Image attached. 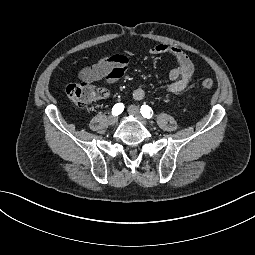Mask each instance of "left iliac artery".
Returning a JSON list of instances; mask_svg holds the SVG:
<instances>
[{
  "instance_id": "left-iliac-artery-1",
  "label": "left iliac artery",
  "mask_w": 255,
  "mask_h": 255,
  "mask_svg": "<svg viewBox=\"0 0 255 255\" xmlns=\"http://www.w3.org/2000/svg\"><path fill=\"white\" fill-rule=\"evenodd\" d=\"M140 112H141L142 116L147 119L151 118L153 116V111L148 105H142Z\"/></svg>"
}]
</instances>
